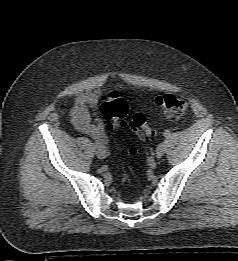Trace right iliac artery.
Segmentation results:
<instances>
[{"instance_id": "obj_1", "label": "right iliac artery", "mask_w": 238, "mask_h": 261, "mask_svg": "<svg viewBox=\"0 0 238 261\" xmlns=\"http://www.w3.org/2000/svg\"><path fill=\"white\" fill-rule=\"evenodd\" d=\"M95 147L98 149H105V146H103L102 144L95 142Z\"/></svg>"}]
</instances>
